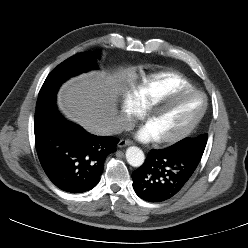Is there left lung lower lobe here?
Here are the masks:
<instances>
[{
    "mask_svg": "<svg viewBox=\"0 0 248 248\" xmlns=\"http://www.w3.org/2000/svg\"><path fill=\"white\" fill-rule=\"evenodd\" d=\"M203 152L173 145L151 150L144 164L132 173L134 191L148 202H162L174 197L191 178Z\"/></svg>",
    "mask_w": 248,
    "mask_h": 248,
    "instance_id": "obj_1",
    "label": "left lung lower lobe"
}]
</instances>
